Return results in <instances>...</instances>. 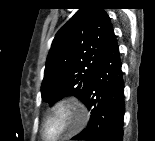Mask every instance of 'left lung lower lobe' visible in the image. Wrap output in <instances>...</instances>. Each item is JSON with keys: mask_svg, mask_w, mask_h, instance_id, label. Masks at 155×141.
<instances>
[{"mask_svg": "<svg viewBox=\"0 0 155 141\" xmlns=\"http://www.w3.org/2000/svg\"><path fill=\"white\" fill-rule=\"evenodd\" d=\"M82 101L90 110V123L87 129L72 139L122 141L124 81L115 36L106 47Z\"/></svg>", "mask_w": 155, "mask_h": 141, "instance_id": "left-lung-lower-lobe-1", "label": "left lung lower lobe"}]
</instances>
